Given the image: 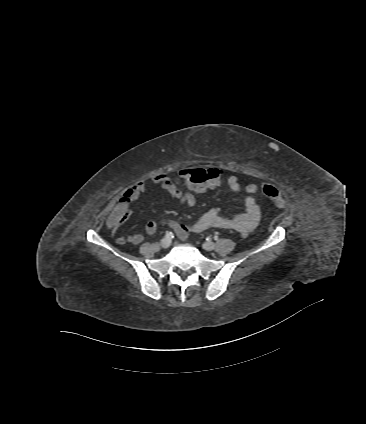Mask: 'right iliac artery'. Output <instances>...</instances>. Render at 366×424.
Here are the masks:
<instances>
[{
  "label": "right iliac artery",
  "instance_id": "right-iliac-artery-1",
  "mask_svg": "<svg viewBox=\"0 0 366 424\" xmlns=\"http://www.w3.org/2000/svg\"><path fill=\"white\" fill-rule=\"evenodd\" d=\"M165 236L168 237V238H172L173 237V233L172 232H167Z\"/></svg>",
  "mask_w": 366,
  "mask_h": 424
}]
</instances>
